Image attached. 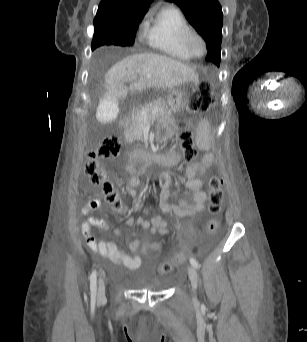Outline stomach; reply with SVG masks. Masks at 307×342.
<instances>
[{"mask_svg":"<svg viewBox=\"0 0 307 342\" xmlns=\"http://www.w3.org/2000/svg\"><path fill=\"white\" fill-rule=\"evenodd\" d=\"M196 90V85L193 83H186L181 85L168 97L170 110L178 113L184 110L187 106L190 95Z\"/></svg>","mask_w":307,"mask_h":342,"instance_id":"obj_1","label":"stomach"}]
</instances>
